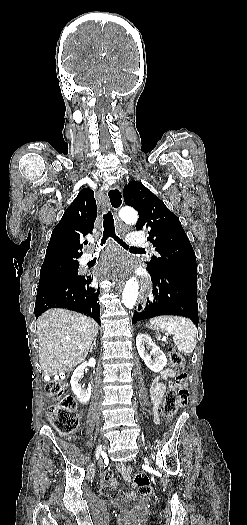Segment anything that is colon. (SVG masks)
<instances>
[{
	"instance_id": "1",
	"label": "colon",
	"mask_w": 247,
	"mask_h": 525,
	"mask_svg": "<svg viewBox=\"0 0 247 525\" xmlns=\"http://www.w3.org/2000/svg\"><path fill=\"white\" fill-rule=\"evenodd\" d=\"M170 362L179 373L164 398L163 415L168 419L173 418L177 410L186 405L189 385V376L182 371L184 368L183 358L177 350L171 351ZM46 391L53 400L59 402L52 403L47 407L45 413L48 421L64 435L74 433L79 423L78 411L73 398L68 395L66 385L59 381H52L47 385ZM134 481L141 495L147 497L152 495L153 486L147 474L135 473Z\"/></svg>"
}]
</instances>
